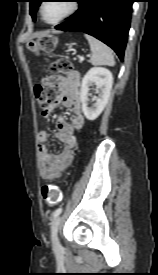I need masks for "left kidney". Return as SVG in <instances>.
<instances>
[{"label": "left kidney", "mask_w": 158, "mask_h": 275, "mask_svg": "<svg viewBox=\"0 0 158 275\" xmlns=\"http://www.w3.org/2000/svg\"><path fill=\"white\" fill-rule=\"evenodd\" d=\"M93 84L97 88L98 96L93 97V101H95L94 106L89 108L88 93L89 87ZM112 84V73L105 67H92L85 74L81 83L80 99L83 113L88 120L93 121L102 113L108 103Z\"/></svg>", "instance_id": "obj_1"}]
</instances>
